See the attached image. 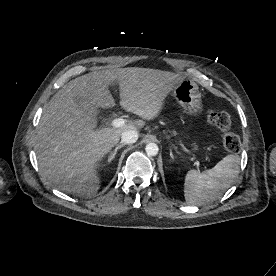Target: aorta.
<instances>
[{
	"label": "aorta",
	"instance_id": "aorta-1",
	"mask_svg": "<svg viewBox=\"0 0 276 276\" xmlns=\"http://www.w3.org/2000/svg\"><path fill=\"white\" fill-rule=\"evenodd\" d=\"M146 153L149 156H156L158 154L159 148L155 143H148L145 147Z\"/></svg>",
	"mask_w": 276,
	"mask_h": 276
}]
</instances>
